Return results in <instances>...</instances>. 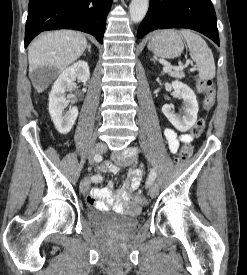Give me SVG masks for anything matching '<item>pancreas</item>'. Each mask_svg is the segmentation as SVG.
<instances>
[{
  "label": "pancreas",
  "mask_w": 247,
  "mask_h": 275,
  "mask_svg": "<svg viewBox=\"0 0 247 275\" xmlns=\"http://www.w3.org/2000/svg\"><path fill=\"white\" fill-rule=\"evenodd\" d=\"M169 75L171 76V77H174V78H177V79H182V78H184V72L183 71H181V70H179V71H177V70H174V71H170L169 72Z\"/></svg>",
  "instance_id": "obj_1"
}]
</instances>
